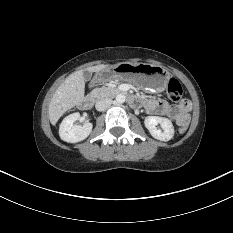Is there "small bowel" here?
<instances>
[{"instance_id":"1","label":"small bowel","mask_w":233,"mask_h":233,"mask_svg":"<svg viewBox=\"0 0 233 233\" xmlns=\"http://www.w3.org/2000/svg\"><path fill=\"white\" fill-rule=\"evenodd\" d=\"M145 110L154 115H165L174 120L180 127L183 123L189 121V111L191 104L188 101H183L179 105H171L161 99H146L143 102Z\"/></svg>"}]
</instances>
